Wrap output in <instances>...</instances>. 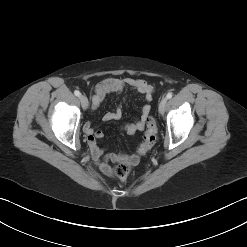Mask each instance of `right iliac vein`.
<instances>
[{"mask_svg":"<svg viewBox=\"0 0 247 247\" xmlns=\"http://www.w3.org/2000/svg\"><path fill=\"white\" fill-rule=\"evenodd\" d=\"M79 99H80V102H81V105H82L83 109H87L88 105H89L87 97L84 96V95H80Z\"/></svg>","mask_w":247,"mask_h":247,"instance_id":"1","label":"right iliac vein"}]
</instances>
